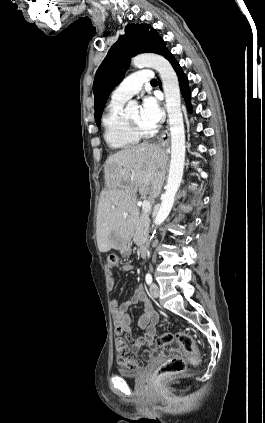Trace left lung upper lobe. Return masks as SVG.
Wrapping results in <instances>:
<instances>
[{
	"label": "left lung upper lobe",
	"instance_id": "5c2ea615",
	"mask_svg": "<svg viewBox=\"0 0 265 423\" xmlns=\"http://www.w3.org/2000/svg\"><path fill=\"white\" fill-rule=\"evenodd\" d=\"M167 51L163 39L150 25L128 24L125 27V35H121L108 51L95 75L93 92L97 126L100 125L103 107L112 90L122 81L131 57L148 52L164 56Z\"/></svg>",
	"mask_w": 265,
	"mask_h": 423
}]
</instances>
